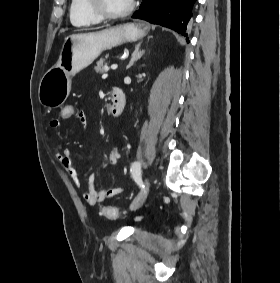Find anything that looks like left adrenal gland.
<instances>
[{"mask_svg": "<svg viewBox=\"0 0 280 283\" xmlns=\"http://www.w3.org/2000/svg\"><path fill=\"white\" fill-rule=\"evenodd\" d=\"M140 46H141V43L136 45L135 50L132 53L131 60H130L129 64L127 65V69L130 68L131 66H133L135 61L140 59L142 57V55L145 53V50H140Z\"/></svg>", "mask_w": 280, "mask_h": 283, "instance_id": "a2214340", "label": "left adrenal gland"}]
</instances>
